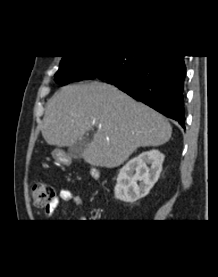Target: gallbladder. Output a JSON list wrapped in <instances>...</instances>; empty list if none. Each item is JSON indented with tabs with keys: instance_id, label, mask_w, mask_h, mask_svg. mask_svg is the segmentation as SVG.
Wrapping results in <instances>:
<instances>
[{
	"instance_id": "obj_1",
	"label": "gallbladder",
	"mask_w": 218,
	"mask_h": 277,
	"mask_svg": "<svg viewBox=\"0 0 218 277\" xmlns=\"http://www.w3.org/2000/svg\"><path fill=\"white\" fill-rule=\"evenodd\" d=\"M89 144L90 139L87 137H82L81 139H78L73 145L68 148V155L74 159L80 158Z\"/></svg>"
}]
</instances>
